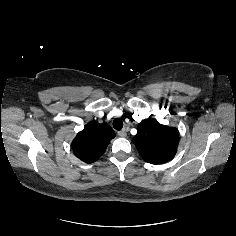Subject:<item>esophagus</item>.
<instances>
[{"mask_svg": "<svg viewBox=\"0 0 236 236\" xmlns=\"http://www.w3.org/2000/svg\"><path fill=\"white\" fill-rule=\"evenodd\" d=\"M118 135H119L120 137H126V136H127V133H126L125 130H121V131L118 132Z\"/></svg>", "mask_w": 236, "mask_h": 236, "instance_id": "34e87169", "label": "esophagus"}]
</instances>
